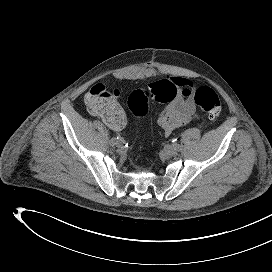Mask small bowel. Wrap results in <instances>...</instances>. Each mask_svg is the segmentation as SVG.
<instances>
[{
  "instance_id": "small-bowel-1",
  "label": "small bowel",
  "mask_w": 272,
  "mask_h": 272,
  "mask_svg": "<svg viewBox=\"0 0 272 272\" xmlns=\"http://www.w3.org/2000/svg\"><path fill=\"white\" fill-rule=\"evenodd\" d=\"M179 89L183 87H192V83L181 77L171 78ZM104 122L113 130L120 131L126 125V117L117 103L113 100V106L109 113L105 116H100ZM196 107L190 97H184L180 92L174 100L167 106L158 118V125L162 128L166 135L171 134L175 129L198 119Z\"/></svg>"
}]
</instances>
